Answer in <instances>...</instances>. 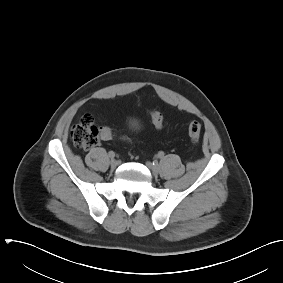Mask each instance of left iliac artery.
<instances>
[{"label": "left iliac artery", "instance_id": "left-iliac-artery-1", "mask_svg": "<svg viewBox=\"0 0 283 283\" xmlns=\"http://www.w3.org/2000/svg\"><path fill=\"white\" fill-rule=\"evenodd\" d=\"M163 157H164V152L160 151V152L158 153V158H163Z\"/></svg>", "mask_w": 283, "mask_h": 283}]
</instances>
